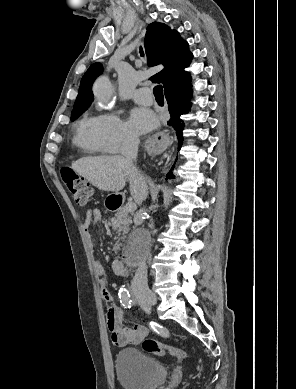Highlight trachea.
<instances>
[{
    "label": "trachea",
    "mask_w": 296,
    "mask_h": 389,
    "mask_svg": "<svg viewBox=\"0 0 296 389\" xmlns=\"http://www.w3.org/2000/svg\"><path fill=\"white\" fill-rule=\"evenodd\" d=\"M141 56H144L143 50L140 49ZM153 94L157 100H164L163 88L161 85H157L153 89Z\"/></svg>",
    "instance_id": "obj_1"
}]
</instances>
